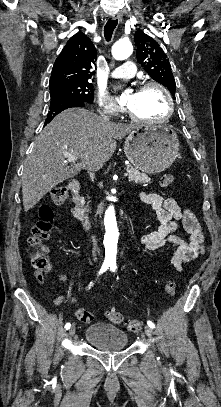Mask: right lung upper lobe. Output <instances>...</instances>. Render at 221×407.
<instances>
[{
	"label": "right lung upper lobe",
	"mask_w": 221,
	"mask_h": 407,
	"mask_svg": "<svg viewBox=\"0 0 221 407\" xmlns=\"http://www.w3.org/2000/svg\"><path fill=\"white\" fill-rule=\"evenodd\" d=\"M96 49L92 41L82 32L72 36L56 58L52 68L50 90L66 85L87 82L94 72Z\"/></svg>",
	"instance_id": "cb5924a9"
}]
</instances>
